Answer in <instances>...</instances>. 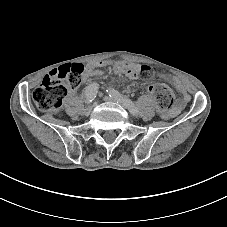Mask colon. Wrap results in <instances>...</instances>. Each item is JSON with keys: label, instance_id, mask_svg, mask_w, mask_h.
Wrapping results in <instances>:
<instances>
[{"label": "colon", "instance_id": "obj_1", "mask_svg": "<svg viewBox=\"0 0 227 227\" xmlns=\"http://www.w3.org/2000/svg\"><path fill=\"white\" fill-rule=\"evenodd\" d=\"M83 73L84 67L81 64H65L50 71L32 93L37 108L42 111H59L67 94L80 86ZM156 74V68L141 65V78L151 79ZM149 90L157 102L160 113L167 114L174 103L172 90L168 86L159 83L150 85Z\"/></svg>", "mask_w": 227, "mask_h": 227}]
</instances>
